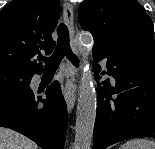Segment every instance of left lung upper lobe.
Here are the masks:
<instances>
[{
	"label": "left lung upper lobe",
	"mask_w": 155,
	"mask_h": 149,
	"mask_svg": "<svg viewBox=\"0 0 155 149\" xmlns=\"http://www.w3.org/2000/svg\"><path fill=\"white\" fill-rule=\"evenodd\" d=\"M78 19L94 37L93 48L154 49V25L136 0H84Z\"/></svg>",
	"instance_id": "5c2ea615"
}]
</instances>
